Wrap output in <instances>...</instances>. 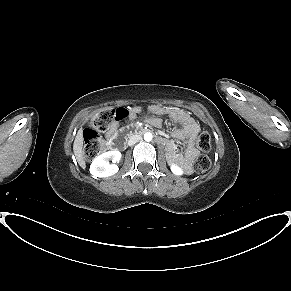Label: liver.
I'll return each mask as SVG.
<instances>
[{
	"label": "liver",
	"instance_id": "6515ba94",
	"mask_svg": "<svg viewBox=\"0 0 291 291\" xmlns=\"http://www.w3.org/2000/svg\"><path fill=\"white\" fill-rule=\"evenodd\" d=\"M83 134H82V129H80L77 132V135L75 137L74 143H73V152L76 157V160L78 164L80 165L81 168L85 169L86 168V163L85 159L83 157Z\"/></svg>",
	"mask_w": 291,
	"mask_h": 291
}]
</instances>
